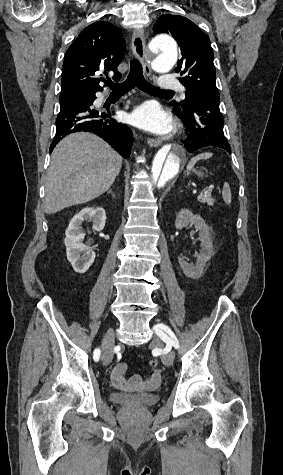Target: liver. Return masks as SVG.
Listing matches in <instances>:
<instances>
[{
  "mask_svg": "<svg viewBox=\"0 0 283 475\" xmlns=\"http://www.w3.org/2000/svg\"><path fill=\"white\" fill-rule=\"evenodd\" d=\"M122 158L102 138L76 132L54 148L45 182V214L86 204L112 186Z\"/></svg>",
  "mask_w": 283,
  "mask_h": 475,
  "instance_id": "liver-1",
  "label": "liver"
}]
</instances>
